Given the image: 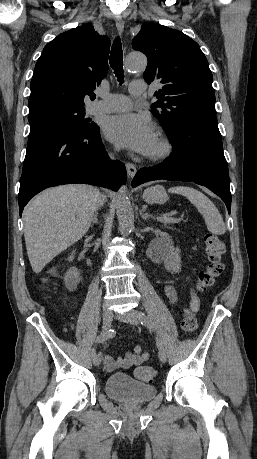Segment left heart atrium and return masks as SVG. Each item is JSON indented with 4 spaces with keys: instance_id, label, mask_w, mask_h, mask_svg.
Instances as JSON below:
<instances>
[{
    "instance_id": "1",
    "label": "left heart atrium",
    "mask_w": 257,
    "mask_h": 459,
    "mask_svg": "<svg viewBox=\"0 0 257 459\" xmlns=\"http://www.w3.org/2000/svg\"><path fill=\"white\" fill-rule=\"evenodd\" d=\"M105 131L112 142L141 154H149L157 139L153 123L146 115L114 116L108 120Z\"/></svg>"
}]
</instances>
